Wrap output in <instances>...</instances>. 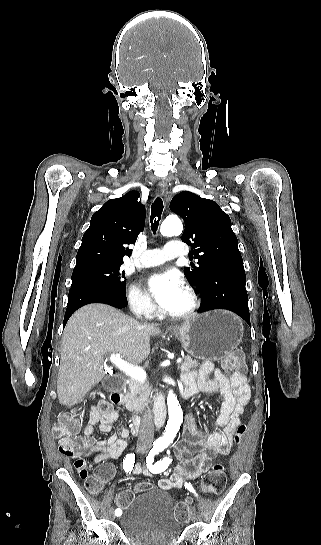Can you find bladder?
Wrapping results in <instances>:
<instances>
[{
	"instance_id": "31cf9c89",
	"label": "bladder",
	"mask_w": 321,
	"mask_h": 545,
	"mask_svg": "<svg viewBox=\"0 0 321 545\" xmlns=\"http://www.w3.org/2000/svg\"><path fill=\"white\" fill-rule=\"evenodd\" d=\"M118 521L131 545H176L182 532L172 498L163 489L138 493L121 511Z\"/></svg>"
}]
</instances>
